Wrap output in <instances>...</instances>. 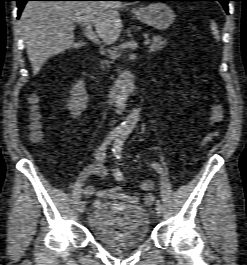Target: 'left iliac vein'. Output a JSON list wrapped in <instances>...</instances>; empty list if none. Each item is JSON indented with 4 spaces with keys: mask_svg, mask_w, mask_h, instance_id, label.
I'll list each match as a JSON object with an SVG mask.
<instances>
[{
    "mask_svg": "<svg viewBox=\"0 0 247 265\" xmlns=\"http://www.w3.org/2000/svg\"><path fill=\"white\" fill-rule=\"evenodd\" d=\"M155 210H156L157 215L160 216L162 213V205L159 200H157L155 204Z\"/></svg>",
    "mask_w": 247,
    "mask_h": 265,
    "instance_id": "obj_1",
    "label": "left iliac vein"
}]
</instances>
